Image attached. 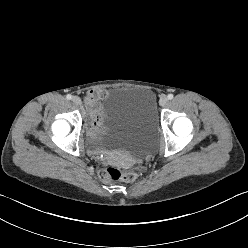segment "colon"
<instances>
[{"label":"colon","instance_id":"5ec220e1","mask_svg":"<svg viewBox=\"0 0 248 248\" xmlns=\"http://www.w3.org/2000/svg\"><path fill=\"white\" fill-rule=\"evenodd\" d=\"M143 167L141 165H135L131 169L122 170L117 167L103 168L99 175L103 181H124L129 182L135 180L142 172Z\"/></svg>","mask_w":248,"mask_h":248}]
</instances>
